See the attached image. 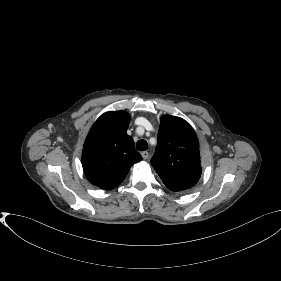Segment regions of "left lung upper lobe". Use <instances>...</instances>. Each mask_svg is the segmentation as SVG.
I'll return each instance as SVG.
<instances>
[{"mask_svg": "<svg viewBox=\"0 0 281 281\" xmlns=\"http://www.w3.org/2000/svg\"><path fill=\"white\" fill-rule=\"evenodd\" d=\"M151 164L171 191L184 192L201 176L199 142L188 122L164 115L158 131V144Z\"/></svg>", "mask_w": 281, "mask_h": 281, "instance_id": "5c2ea615", "label": "left lung upper lobe"}]
</instances>
